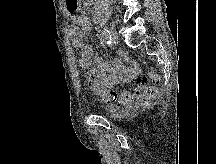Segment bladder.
<instances>
[{
  "label": "bladder",
  "instance_id": "1",
  "mask_svg": "<svg viewBox=\"0 0 216 164\" xmlns=\"http://www.w3.org/2000/svg\"><path fill=\"white\" fill-rule=\"evenodd\" d=\"M128 110H129L128 106H122V107L111 109L109 112V118L115 119V120L119 119L125 116L128 113Z\"/></svg>",
  "mask_w": 216,
  "mask_h": 164
}]
</instances>
